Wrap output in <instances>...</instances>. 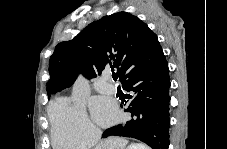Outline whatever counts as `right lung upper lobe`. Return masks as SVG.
<instances>
[{
    "label": "right lung upper lobe",
    "mask_w": 227,
    "mask_h": 149,
    "mask_svg": "<svg viewBox=\"0 0 227 149\" xmlns=\"http://www.w3.org/2000/svg\"><path fill=\"white\" fill-rule=\"evenodd\" d=\"M164 56L157 35L126 12L104 16L70 41L59 43L49 60L47 91L71 86L78 73L90 79L110 67L123 83L130 75L157 64Z\"/></svg>",
    "instance_id": "obj_1"
}]
</instances>
